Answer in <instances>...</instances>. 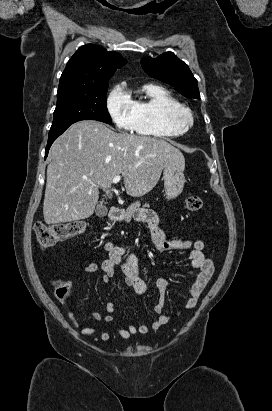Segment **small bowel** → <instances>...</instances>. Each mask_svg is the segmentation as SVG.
<instances>
[{
    "label": "small bowel",
    "instance_id": "1",
    "mask_svg": "<svg viewBox=\"0 0 272 411\" xmlns=\"http://www.w3.org/2000/svg\"><path fill=\"white\" fill-rule=\"evenodd\" d=\"M136 217L148 225L153 246L159 253L164 254L174 249L189 251L188 260L191 267L196 271V277L191 285L190 296L185 304V308L188 310L194 309L214 272L213 261L207 258L204 254V242L201 240H167L164 232L158 226L157 217L149 210L144 209L139 211ZM103 248L108 254V258L104 260L101 265L90 264L83 267L80 273L93 274L101 271L103 274L102 281L104 283H109L114 277L121 274L125 284L128 287L132 288L138 295L145 294L147 292L148 285L139 271L137 257L133 254L127 253L125 247L118 246L111 241H106ZM156 285L160 292V298L154 305L153 311L158 315V318L151 324V326L147 324H140L138 326L128 325L125 328L118 329L117 334L123 340H129L132 336L137 334L145 335L150 330L157 331L173 319L174 315L163 313L165 306V293L168 289V283L163 279H159L156 282ZM60 301L65 307L69 318L72 320L74 325L78 327L79 322L67 301ZM114 310L115 304L113 302H108L105 305V313L93 311L89 313V316L95 321L110 323L113 321L112 313ZM181 311L182 308L179 307L175 315H179ZM80 332L83 335L89 336L95 334L96 329L93 327H82ZM100 338L102 341H108L111 338V334L108 331H104L100 334Z\"/></svg>",
    "mask_w": 272,
    "mask_h": 411
}]
</instances>
